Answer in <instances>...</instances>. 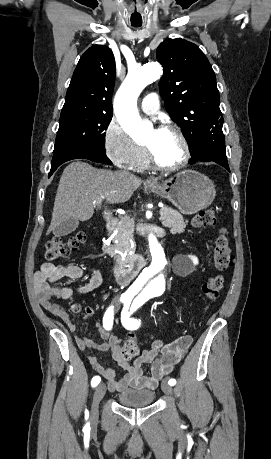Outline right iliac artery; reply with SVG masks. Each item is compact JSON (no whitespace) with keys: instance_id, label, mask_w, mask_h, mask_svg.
Masks as SVG:
<instances>
[{"instance_id":"1","label":"right iliac artery","mask_w":271,"mask_h":459,"mask_svg":"<svg viewBox=\"0 0 271 459\" xmlns=\"http://www.w3.org/2000/svg\"><path fill=\"white\" fill-rule=\"evenodd\" d=\"M124 304H127V306L130 305L129 300H120ZM114 306H110L107 311L104 314L103 317V327L106 330H111L113 326V319H114V313H113ZM101 381V378L99 376H94L91 381V386L96 387Z\"/></svg>"}]
</instances>
